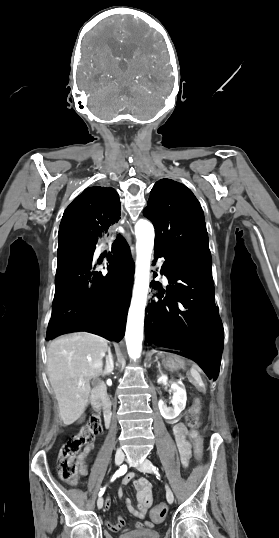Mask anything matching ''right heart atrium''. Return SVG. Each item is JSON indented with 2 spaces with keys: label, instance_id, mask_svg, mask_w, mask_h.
Instances as JSON below:
<instances>
[{
  "label": "right heart atrium",
  "instance_id": "d8ad5b80",
  "mask_svg": "<svg viewBox=\"0 0 279 538\" xmlns=\"http://www.w3.org/2000/svg\"><path fill=\"white\" fill-rule=\"evenodd\" d=\"M143 239H144V240H147V237H146V236H144V237H143Z\"/></svg>",
  "mask_w": 279,
  "mask_h": 538
}]
</instances>
